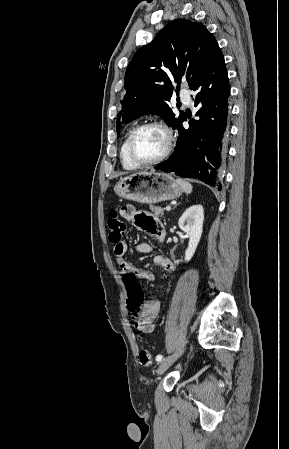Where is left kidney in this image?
Returning a JSON list of instances; mask_svg holds the SVG:
<instances>
[{"label":"left kidney","instance_id":"5707ae66","mask_svg":"<svg viewBox=\"0 0 289 449\" xmlns=\"http://www.w3.org/2000/svg\"><path fill=\"white\" fill-rule=\"evenodd\" d=\"M204 210L202 205L189 207L178 221V225L189 237L188 248L185 251V261L193 257L203 232Z\"/></svg>","mask_w":289,"mask_h":449}]
</instances>
